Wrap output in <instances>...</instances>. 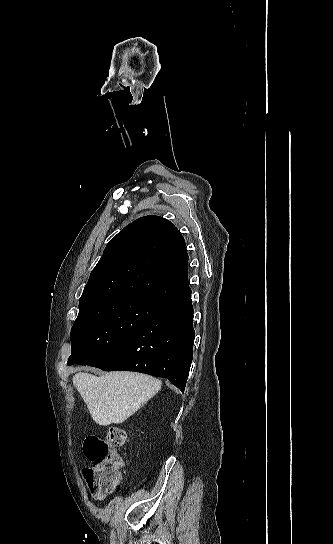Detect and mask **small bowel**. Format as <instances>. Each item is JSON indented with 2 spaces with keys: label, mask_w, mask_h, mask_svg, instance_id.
<instances>
[{
  "label": "small bowel",
  "mask_w": 333,
  "mask_h": 544,
  "mask_svg": "<svg viewBox=\"0 0 333 544\" xmlns=\"http://www.w3.org/2000/svg\"><path fill=\"white\" fill-rule=\"evenodd\" d=\"M115 488H112L110 490H96L94 493V499L97 501L104 500L109 494H111L114 491Z\"/></svg>",
  "instance_id": "obj_1"
}]
</instances>
